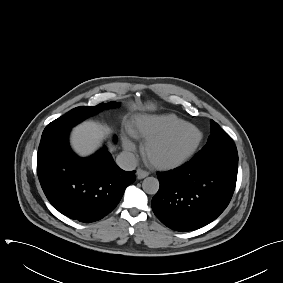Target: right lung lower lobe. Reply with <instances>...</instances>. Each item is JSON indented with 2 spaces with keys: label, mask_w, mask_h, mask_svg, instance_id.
Here are the masks:
<instances>
[{
  "label": "right lung lower lobe",
  "mask_w": 283,
  "mask_h": 283,
  "mask_svg": "<svg viewBox=\"0 0 283 283\" xmlns=\"http://www.w3.org/2000/svg\"><path fill=\"white\" fill-rule=\"evenodd\" d=\"M69 131L41 140L37 174L49 202L62 214L80 222L100 220L121 200L135 181V171H124L110 153L100 150L77 157L69 147Z\"/></svg>",
  "instance_id": "98d812e1"
}]
</instances>
